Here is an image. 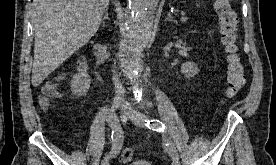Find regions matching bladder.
<instances>
[{"instance_id":"bladder-1","label":"bladder","mask_w":276,"mask_h":165,"mask_svg":"<svg viewBox=\"0 0 276 165\" xmlns=\"http://www.w3.org/2000/svg\"><path fill=\"white\" fill-rule=\"evenodd\" d=\"M129 165H151V164L145 161L138 160L130 163Z\"/></svg>"}]
</instances>
